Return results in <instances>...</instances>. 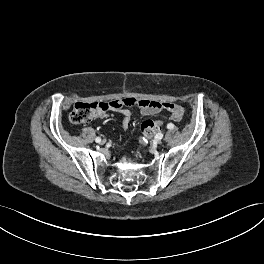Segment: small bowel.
Here are the masks:
<instances>
[{
  "mask_svg": "<svg viewBox=\"0 0 264 264\" xmlns=\"http://www.w3.org/2000/svg\"><path fill=\"white\" fill-rule=\"evenodd\" d=\"M134 100L132 106H137L140 109V113L144 116H152L159 113L162 110L169 111L171 114V119L173 121H180L183 117V108L172 102H160L154 100ZM118 111L122 115V125L127 128L130 124L132 112L128 108H119Z\"/></svg>",
  "mask_w": 264,
  "mask_h": 264,
  "instance_id": "1",
  "label": "small bowel"
}]
</instances>
